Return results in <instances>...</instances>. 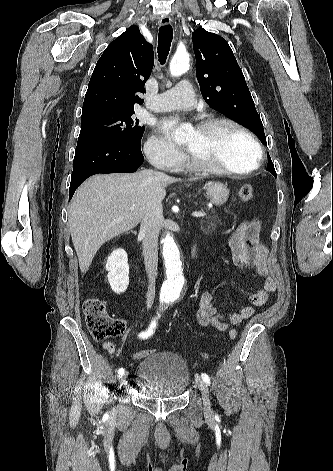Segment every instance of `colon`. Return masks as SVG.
I'll use <instances>...</instances> for the list:
<instances>
[{
  "instance_id": "obj_1",
  "label": "colon",
  "mask_w": 333,
  "mask_h": 471,
  "mask_svg": "<svg viewBox=\"0 0 333 471\" xmlns=\"http://www.w3.org/2000/svg\"><path fill=\"white\" fill-rule=\"evenodd\" d=\"M254 188L251 184H244L239 190V197L247 202L252 199ZM83 311L89 332L96 341H103L107 338L116 337L124 332L125 324L122 320L114 318L107 313L102 300L98 298H89L84 302ZM237 332L230 330L229 338L235 339ZM152 350H142L137 352L134 357L142 359L152 354Z\"/></svg>"
}]
</instances>
